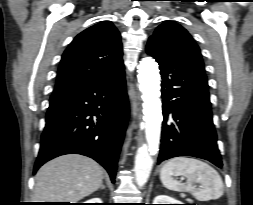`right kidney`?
<instances>
[{"instance_id":"ca27d5eb","label":"right kidney","mask_w":253,"mask_h":205,"mask_svg":"<svg viewBox=\"0 0 253 205\" xmlns=\"http://www.w3.org/2000/svg\"><path fill=\"white\" fill-rule=\"evenodd\" d=\"M84 203H102L100 198H92Z\"/></svg>"}]
</instances>
